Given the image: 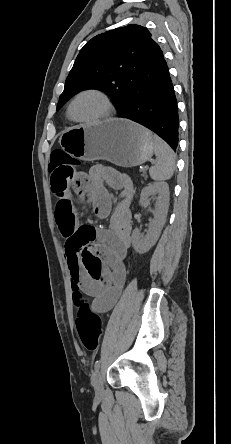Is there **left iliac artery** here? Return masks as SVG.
Listing matches in <instances>:
<instances>
[{"mask_svg": "<svg viewBox=\"0 0 231 444\" xmlns=\"http://www.w3.org/2000/svg\"><path fill=\"white\" fill-rule=\"evenodd\" d=\"M99 367H100V361L97 360L94 365L95 371H97L99 369Z\"/></svg>", "mask_w": 231, "mask_h": 444, "instance_id": "left-iliac-artery-1", "label": "left iliac artery"}]
</instances>
